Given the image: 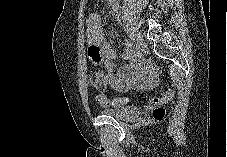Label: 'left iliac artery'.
I'll return each instance as SVG.
<instances>
[{
	"label": "left iliac artery",
	"mask_w": 227,
	"mask_h": 157,
	"mask_svg": "<svg viewBox=\"0 0 227 157\" xmlns=\"http://www.w3.org/2000/svg\"><path fill=\"white\" fill-rule=\"evenodd\" d=\"M124 28L127 30V31H131V33L133 34V27L132 26H129L128 27V24L127 25H124ZM135 35V34H134Z\"/></svg>",
	"instance_id": "left-iliac-artery-1"
}]
</instances>
